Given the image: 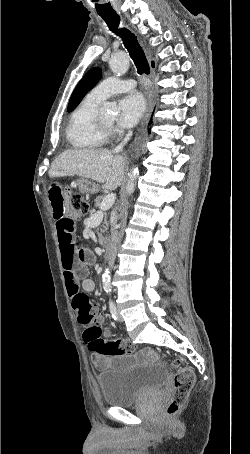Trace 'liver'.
<instances>
[{
  "mask_svg": "<svg viewBox=\"0 0 250 454\" xmlns=\"http://www.w3.org/2000/svg\"><path fill=\"white\" fill-rule=\"evenodd\" d=\"M125 166V157L107 149H70L52 162L48 174L50 178L77 175L115 190L123 179Z\"/></svg>",
  "mask_w": 250,
  "mask_h": 454,
  "instance_id": "1",
  "label": "liver"
}]
</instances>
